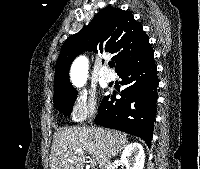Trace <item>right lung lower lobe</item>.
<instances>
[{
    "label": "right lung lower lobe",
    "instance_id": "1",
    "mask_svg": "<svg viewBox=\"0 0 200 169\" xmlns=\"http://www.w3.org/2000/svg\"><path fill=\"white\" fill-rule=\"evenodd\" d=\"M153 54L123 67L118 75L126 86L121 99L106 96L95 122L142 138L151 144L156 116L157 86Z\"/></svg>",
    "mask_w": 200,
    "mask_h": 169
}]
</instances>
